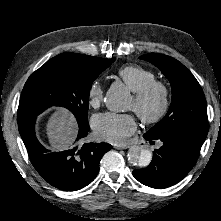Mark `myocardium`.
<instances>
[{"label": "myocardium", "instance_id": "myocardium-1", "mask_svg": "<svg viewBox=\"0 0 221 221\" xmlns=\"http://www.w3.org/2000/svg\"><path fill=\"white\" fill-rule=\"evenodd\" d=\"M153 95L159 97V106L154 113L147 114L143 108ZM133 99L135 101V108L133 110L145 124L160 122L166 116L170 107V91L165 83L158 80H152L135 91Z\"/></svg>", "mask_w": 221, "mask_h": 221}]
</instances>
